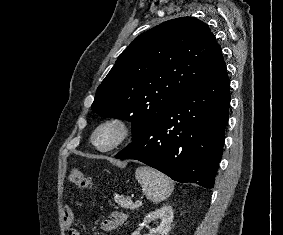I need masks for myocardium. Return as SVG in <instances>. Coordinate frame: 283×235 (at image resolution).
I'll return each instance as SVG.
<instances>
[{
    "label": "myocardium",
    "mask_w": 283,
    "mask_h": 235,
    "mask_svg": "<svg viewBox=\"0 0 283 235\" xmlns=\"http://www.w3.org/2000/svg\"><path fill=\"white\" fill-rule=\"evenodd\" d=\"M106 130H113V138L107 142L102 143L100 137ZM132 135V128L130 123L122 117L112 116L103 119L99 122L91 134L92 145L101 152H109L115 150L126 143Z\"/></svg>",
    "instance_id": "obj_1"
}]
</instances>
